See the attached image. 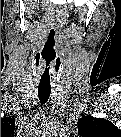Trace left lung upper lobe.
I'll return each instance as SVG.
<instances>
[{
    "mask_svg": "<svg viewBox=\"0 0 121 137\" xmlns=\"http://www.w3.org/2000/svg\"><path fill=\"white\" fill-rule=\"evenodd\" d=\"M78 132L83 137H112L118 136L121 133L112 122L92 116H84L79 120Z\"/></svg>",
    "mask_w": 121,
    "mask_h": 137,
    "instance_id": "1",
    "label": "left lung upper lobe"
}]
</instances>
